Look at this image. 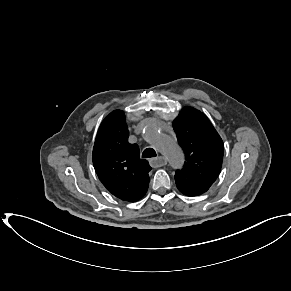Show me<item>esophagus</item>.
<instances>
[{"label": "esophagus", "instance_id": "esophagus-1", "mask_svg": "<svg viewBox=\"0 0 291 291\" xmlns=\"http://www.w3.org/2000/svg\"><path fill=\"white\" fill-rule=\"evenodd\" d=\"M150 164L154 168L162 167L167 164V159L163 156H158L156 158L151 159Z\"/></svg>", "mask_w": 291, "mask_h": 291}]
</instances>
